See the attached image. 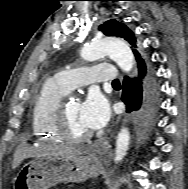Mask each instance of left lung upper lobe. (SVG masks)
<instances>
[{
	"label": "left lung upper lobe",
	"instance_id": "5c2ea615",
	"mask_svg": "<svg viewBox=\"0 0 188 189\" xmlns=\"http://www.w3.org/2000/svg\"><path fill=\"white\" fill-rule=\"evenodd\" d=\"M99 29L105 35L123 38L127 42H129L134 48H137L136 39L134 37V34L123 23H120L114 19H111V20L105 22L103 25H101L99 27ZM133 52H134V55H135L137 61L143 60L141 58L140 53L136 49H133Z\"/></svg>",
	"mask_w": 188,
	"mask_h": 189
}]
</instances>
